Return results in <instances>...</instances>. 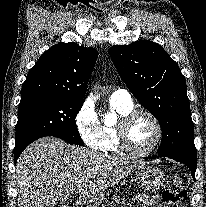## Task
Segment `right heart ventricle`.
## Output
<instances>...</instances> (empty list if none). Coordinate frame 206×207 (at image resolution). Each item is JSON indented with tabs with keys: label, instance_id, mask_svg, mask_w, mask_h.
Instances as JSON below:
<instances>
[{
	"label": "right heart ventricle",
	"instance_id": "1",
	"mask_svg": "<svg viewBox=\"0 0 206 207\" xmlns=\"http://www.w3.org/2000/svg\"><path fill=\"white\" fill-rule=\"evenodd\" d=\"M111 109L119 114L121 117L128 114L132 111L133 106H125L118 102L110 100ZM102 131L104 136V144L102 150L106 152L118 153L120 152L117 134H116V126L110 125H102Z\"/></svg>",
	"mask_w": 206,
	"mask_h": 207
}]
</instances>
